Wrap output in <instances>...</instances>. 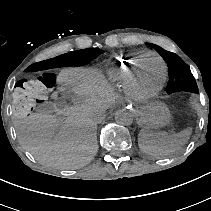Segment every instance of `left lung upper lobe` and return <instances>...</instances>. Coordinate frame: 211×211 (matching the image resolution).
<instances>
[{
    "instance_id": "obj_1",
    "label": "left lung upper lobe",
    "mask_w": 211,
    "mask_h": 211,
    "mask_svg": "<svg viewBox=\"0 0 211 211\" xmlns=\"http://www.w3.org/2000/svg\"><path fill=\"white\" fill-rule=\"evenodd\" d=\"M157 50V52L167 61L169 82L166 88L168 94L178 91H188L199 93L196 81L184 61L175 53L168 52L161 47L148 44Z\"/></svg>"
}]
</instances>
